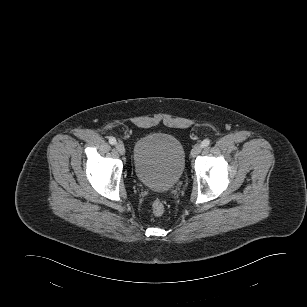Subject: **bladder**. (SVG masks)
<instances>
[{"label": "bladder", "instance_id": "obj_1", "mask_svg": "<svg viewBox=\"0 0 307 307\" xmlns=\"http://www.w3.org/2000/svg\"><path fill=\"white\" fill-rule=\"evenodd\" d=\"M133 169L144 186L155 191H168L184 173V147L175 136L169 134L146 135L135 144Z\"/></svg>", "mask_w": 307, "mask_h": 307}]
</instances>
